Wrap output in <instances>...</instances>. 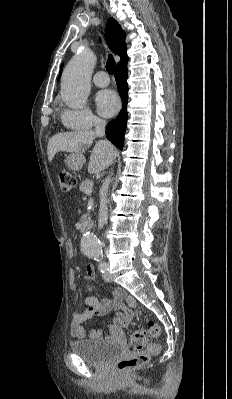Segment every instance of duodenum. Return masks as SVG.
Segmentation results:
<instances>
[{
  "label": "duodenum",
  "mask_w": 232,
  "mask_h": 399,
  "mask_svg": "<svg viewBox=\"0 0 232 399\" xmlns=\"http://www.w3.org/2000/svg\"><path fill=\"white\" fill-rule=\"evenodd\" d=\"M91 229V227H90V225H89V223L87 222V221H82V223H81V230L83 231V232H87V231H89Z\"/></svg>",
  "instance_id": "duodenum-1"
}]
</instances>
